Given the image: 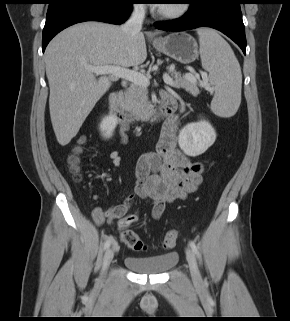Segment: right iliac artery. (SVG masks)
Returning <instances> with one entry per match:
<instances>
[{
	"instance_id": "right-iliac-artery-1",
	"label": "right iliac artery",
	"mask_w": 290,
	"mask_h": 321,
	"mask_svg": "<svg viewBox=\"0 0 290 321\" xmlns=\"http://www.w3.org/2000/svg\"><path fill=\"white\" fill-rule=\"evenodd\" d=\"M112 238L110 237L104 244V250H106L107 248H109L110 244H111Z\"/></svg>"
}]
</instances>
